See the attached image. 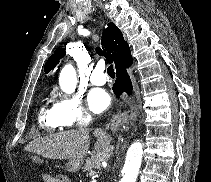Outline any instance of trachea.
Returning <instances> with one entry per match:
<instances>
[{
  "label": "trachea",
  "mask_w": 211,
  "mask_h": 182,
  "mask_svg": "<svg viewBox=\"0 0 211 182\" xmlns=\"http://www.w3.org/2000/svg\"><path fill=\"white\" fill-rule=\"evenodd\" d=\"M107 73H108L109 76L115 77L113 65H109V67L107 68Z\"/></svg>",
  "instance_id": "obj_1"
}]
</instances>
